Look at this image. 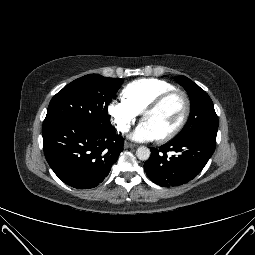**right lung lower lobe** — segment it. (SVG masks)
Instances as JSON below:
<instances>
[{
	"label": "right lung lower lobe",
	"mask_w": 255,
	"mask_h": 255,
	"mask_svg": "<svg viewBox=\"0 0 255 255\" xmlns=\"http://www.w3.org/2000/svg\"><path fill=\"white\" fill-rule=\"evenodd\" d=\"M44 153L54 173L77 189L98 186L123 150L115 130H96L73 120L44 123Z\"/></svg>",
	"instance_id": "right-lung-lower-lobe-1"
}]
</instances>
